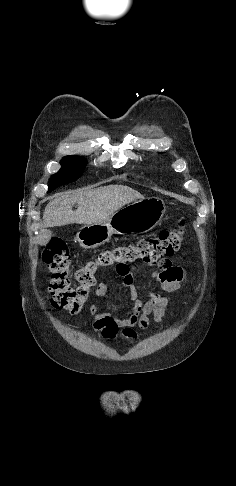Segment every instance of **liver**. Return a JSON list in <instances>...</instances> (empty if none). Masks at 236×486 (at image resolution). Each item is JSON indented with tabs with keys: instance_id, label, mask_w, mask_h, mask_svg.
I'll return each mask as SVG.
<instances>
[{
	"instance_id": "1",
	"label": "liver",
	"mask_w": 236,
	"mask_h": 486,
	"mask_svg": "<svg viewBox=\"0 0 236 486\" xmlns=\"http://www.w3.org/2000/svg\"><path fill=\"white\" fill-rule=\"evenodd\" d=\"M143 198L138 191L123 185L68 192L47 204L43 224L47 228L72 223L88 225L104 222L123 206ZM76 203L78 208L73 211L72 207Z\"/></svg>"
}]
</instances>
